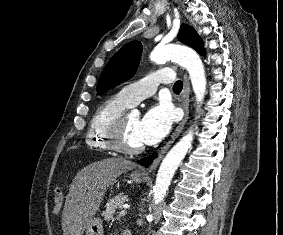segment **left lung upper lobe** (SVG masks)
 Here are the masks:
<instances>
[{
  "mask_svg": "<svg viewBox=\"0 0 283 235\" xmlns=\"http://www.w3.org/2000/svg\"><path fill=\"white\" fill-rule=\"evenodd\" d=\"M177 38L201 55L205 54L203 42L191 26L182 25ZM141 53L142 45L139 41H131L120 48L107 63L99 78L98 93H103L131 78L138 68Z\"/></svg>",
  "mask_w": 283,
  "mask_h": 235,
  "instance_id": "obj_1",
  "label": "left lung upper lobe"
}]
</instances>
